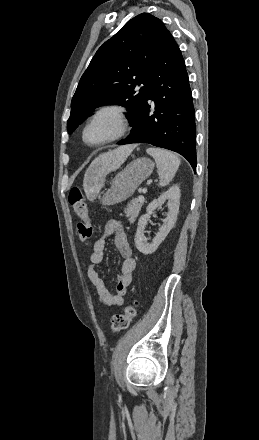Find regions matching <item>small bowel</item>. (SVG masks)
I'll return each instance as SVG.
<instances>
[{
    "label": "small bowel",
    "instance_id": "c3829d8e",
    "mask_svg": "<svg viewBox=\"0 0 259 440\" xmlns=\"http://www.w3.org/2000/svg\"><path fill=\"white\" fill-rule=\"evenodd\" d=\"M109 236H113L115 247L122 257L120 273L117 276L116 294L110 292L98 270L104 260L106 240ZM135 268L136 260L133 257V251L122 223L116 219L109 220L105 225L102 236L93 244L90 265L87 270L88 278L96 288L99 300L103 305L111 307L121 306L124 303L127 288L132 282Z\"/></svg>",
    "mask_w": 259,
    "mask_h": 440
}]
</instances>
